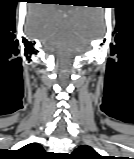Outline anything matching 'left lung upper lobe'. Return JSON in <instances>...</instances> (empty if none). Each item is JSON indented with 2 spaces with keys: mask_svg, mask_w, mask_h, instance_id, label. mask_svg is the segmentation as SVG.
<instances>
[{
  "mask_svg": "<svg viewBox=\"0 0 134 159\" xmlns=\"http://www.w3.org/2000/svg\"><path fill=\"white\" fill-rule=\"evenodd\" d=\"M70 159H105L99 155L93 148L90 146H80L72 154Z\"/></svg>",
  "mask_w": 134,
  "mask_h": 159,
  "instance_id": "5c2ea615",
  "label": "left lung upper lobe"
}]
</instances>
